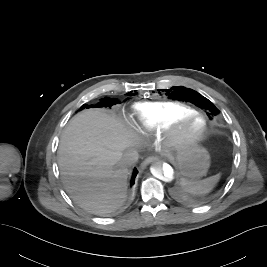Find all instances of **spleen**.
<instances>
[{
    "instance_id": "obj_1",
    "label": "spleen",
    "mask_w": 267,
    "mask_h": 267,
    "mask_svg": "<svg viewBox=\"0 0 267 267\" xmlns=\"http://www.w3.org/2000/svg\"><path fill=\"white\" fill-rule=\"evenodd\" d=\"M219 179H220V174H216L214 176L199 181H192L183 178L181 180V185L185 192L194 195H201L209 193L217 184Z\"/></svg>"
}]
</instances>
